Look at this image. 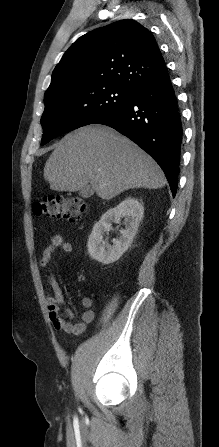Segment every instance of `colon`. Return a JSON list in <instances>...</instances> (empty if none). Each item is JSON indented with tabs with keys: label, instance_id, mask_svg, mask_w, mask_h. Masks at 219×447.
<instances>
[{
	"label": "colon",
	"instance_id": "colon-1",
	"mask_svg": "<svg viewBox=\"0 0 219 447\" xmlns=\"http://www.w3.org/2000/svg\"><path fill=\"white\" fill-rule=\"evenodd\" d=\"M87 210L86 202L76 197H45L33 206L36 215L48 218H63L78 222Z\"/></svg>",
	"mask_w": 219,
	"mask_h": 447
}]
</instances>
